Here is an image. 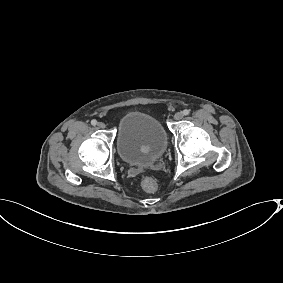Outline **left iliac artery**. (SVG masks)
<instances>
[{
    "label": "left iliac artery",
    "instance_id": "1",
    "mask_svg": "<svg viewBox=\"0 0 283 283\" xmlns=\"http://www.w3.org/2000/svg\"><path fill=\"white\" fill-rule=\"evenodd\" d=\"M189 113H190V111L188 109L183 110L184 115H188Z\"/></svg>",
    "mask_w": 283,
    "mask_h": 283
}]
</instances>
